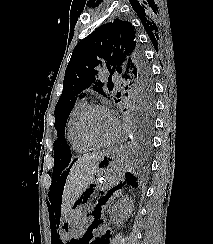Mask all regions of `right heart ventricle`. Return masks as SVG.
Masks as SVG:
<instances>
[{
    "mask_svg": "<svg viewBox=\"0 0 213 244\" xmlns=\"http://www.w3.org/2000/svg\"><path fill=\"white\" fill-rule=\"evenodd\" d=\"M89 104L86 100H79L73 106L66 123V139L71 149L77 153H86L93 147L82 140L78 132V122Z\"/></svg>",
    "mask_w": 213,
    "mask_h": 244,
    "instance_id": "obj_1",
    "label": "right heart ventricle"
}]
</instances>
